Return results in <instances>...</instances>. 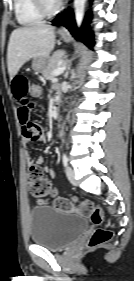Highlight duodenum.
Masks as SVG:
<instances>
[{
    "instance_id": "obj_1",
    "label": "duodenum",
    "mask_w": 134,
    "mask_h": 281,
    "mask_svg": "<svg viewBox=\"0 0 134 281\" xmlns=\"http://www.w3.org/2000/svg\"><path fill=\"white\" fill-rule=\"evenodd\" d=\"M60 108H61V101L57 100L56 103H55V112H56V114L59 113Z\"/></svg>"
}]
</instances>
